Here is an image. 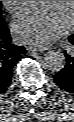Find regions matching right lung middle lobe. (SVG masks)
I'll list each match as a JSON object with an SVG mask.
<instances>
[{"label":"right lung middle lobe","instance_id":"1","mask_svg":"<svg viewBox=\"0 0 74 122\" xmlns=\"http://www.w3.org/2000/svg\"><path fill=\"white\" fill-rule=\"evenodd\" d=\"M5 29V24L3 23V21L0 19V33L3 32Z\"/></svg>","mask_w":74,"mask_h":122}]
</instances>
